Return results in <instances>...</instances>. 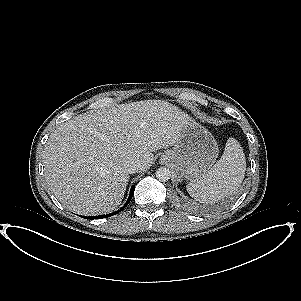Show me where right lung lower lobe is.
<instances>
[{
	"label": "right lung lower lobe",
	"instance_id": "98d812e1",
	"mask_svg": "<svg viewBox=\"0 0 301 301\" xmlns=\"http://www.w3.org/2000/svg\"><path fill=\"white\" fill-rule=\"evenodd\" d=\"M134 189H135V186H133V187L131 188L130 195H129L128 200H127V202L125 203V205H124L120 210H118L117 212L110 213V214H107V215H101V216H95V217H86V218L92 219V220H93V219H101V218H107V217H110V216H112V215H115V214L119 213V212L122 211V210L129 204V202L131 201V198H132V196H133V194H134Z\"/></svg>",
	"mask_w": 301,
	"mask_h": 301
}]
</instances>
